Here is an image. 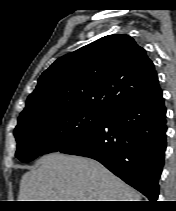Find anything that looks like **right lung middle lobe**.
<instances>
[{
	"mask_svg": "<svg viewBox=\"0 0 176 211\" xmlns=\"http://www.w3.org/2000/svg\"><path fill=\"white\" fill-rule=\"evenodd\" d=\"M107 113L82 108L48 109L18 119L15 156L22 162L56 152L99 126Z\"/></svg>",
	"mask_w": 176,
	"mask_h": 211,
	"instance_id": "right-lung-middle-lobe-1",
	"label": "right lung middle lobe"
}]
</instances>
